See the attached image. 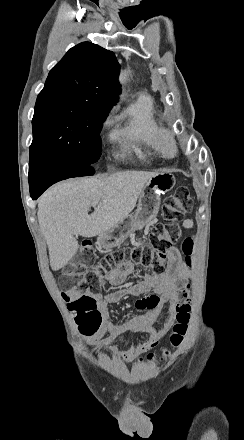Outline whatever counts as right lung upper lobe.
I'll return each instance as SVG.
<instances>
[{
	"mask_svg": "<svg viewBox=\"0 0 244 440\" xmlns=\"http://www.w3.org/2000/svg\"><path fill=\"white\" fill-rule=\"evenodd\" d=\"M119 71L113 52L82 42L53 67L37 102H85L110 110L118 100Z\"/></svg>",
	"mask_w": 244,
	"mask_h": 440,
	"instance_id": "obj_1",
	"label": "right lung upper lobe"
}]
</instances>
